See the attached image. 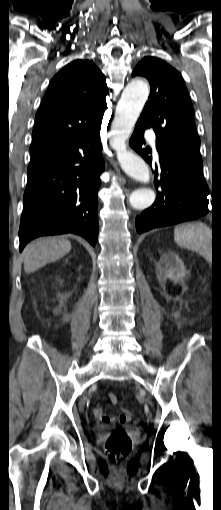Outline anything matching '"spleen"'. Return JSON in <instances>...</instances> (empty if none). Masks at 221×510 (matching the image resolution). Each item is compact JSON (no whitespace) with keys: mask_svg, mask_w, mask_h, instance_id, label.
<instances>
[{"mask_svg":"<svg viewBox=\"0 0 221 510\" xmlns=\"http://www.w3.org/2000/svg\"><path fill=\"white\" fill-rule=\"evenodd\" d=\"M174 239L182 248L196 251L205 259L212 255V231L203 223H184L174 229Z\"/></svg>","mask_w":221,"mask_h":510,"instance_id":"1","label":"spleen"}]
</instances>
